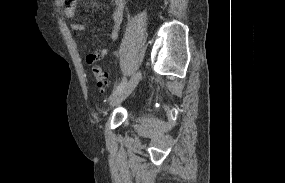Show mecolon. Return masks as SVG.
Listing matches in <instances>:
<instances>
[{"mask_svg": "<svg viewBox=\"0 0 285 183\" xmlns=\"http://www.w3.org/2000/svg\"><path fill=\"white\" fill-rule=\"evenodd\" d=\"M71 0H67L70 2ZM93 76L99 89L104 90L108 84L105 72L97 65L92 66Z\"/></svg>", "mask_w": 285, "mask_h": 183, "instance_id": "obj_1", "label": "colon"}]
</instances>
